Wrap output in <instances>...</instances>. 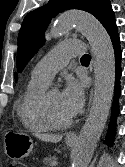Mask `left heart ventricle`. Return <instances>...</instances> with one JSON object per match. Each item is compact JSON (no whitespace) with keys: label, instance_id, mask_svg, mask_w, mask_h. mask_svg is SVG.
Wrapping results in <instances>:
<instances>
[{"label":"left heart ventricle","instance_id":"obj_1","mask_svg":"<svg viewBox=\"0 0 125 167\" xmlns=\"http://www.w3.org/2000/svg\"><path fill=\"white\" fill-rule=\"evenodd\" d=\"M48 101L51 112L57 120L63 121L70 118L62 107L60 93L58 91H50L48 93Z\"/></svg>","mask_w":125,"mask_h":167}]
</instances>
